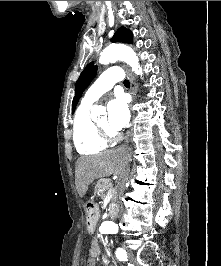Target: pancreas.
<instances>
[{"label":"pancreas","mask_w":221,"mask_h":266,"mask_svg":"<svg viewBox=\"0 0 221 266\" xmlns=\"http://www.w3.org/2000/svg\"><path fill=\"white\" fill-rule=\"evenodd\" d=\"M111 187H113V185L109 179H100L96 185V193L100 198H104L105 192ZM115 199L116 191L112 192L111 201H114Z\"/></svg>","instance_id":"obj_1"}]
</instances>
